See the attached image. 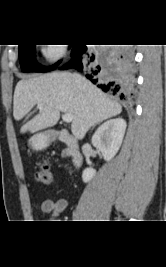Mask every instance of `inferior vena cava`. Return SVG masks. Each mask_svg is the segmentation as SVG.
I'll return each instance as SVG.
<instances>
[{
	"label": "inferior vena cava",
	"instance_id": "obj_1",
	"mask_svg": "<svg viewBox=\"0 0 166 267\" xmlns=\"http://www.w3.org/2000/svg\"><path fill=\"white\" fill-rule=\"evenodd\" d=\"M73 75H74V78H75L77 81L81 80V76H80V75H78V74H73Z\"/></svg>",
	"mask_w": 166,
	"mask_h": 267
}]
</instances>
